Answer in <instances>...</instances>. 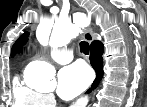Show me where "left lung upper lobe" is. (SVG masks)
<instances>
[{"instance_id":"5c2ea615","label":"left lung upper lobe","mask_w":147,"mask_h":107,"mask_svg":"<svg viewBox=\"0 0 147 107\" xmlns=\"http://www.w3.org/2000/svg\"><path fill=\"white\" fill-rule=\"evenodd\" d=\"M28 36L29 33L25 32L23 35L19 37V39L15 42V44L12 47L11 56H14L16 51H20L22 49L23 45L28 40Z\"/></svg>"}]
</instances>
